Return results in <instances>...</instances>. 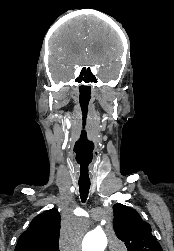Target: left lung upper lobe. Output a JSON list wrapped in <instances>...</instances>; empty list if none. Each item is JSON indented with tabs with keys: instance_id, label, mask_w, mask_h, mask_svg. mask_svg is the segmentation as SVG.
I'll return each mask as SVG.
<instances>
[{
	"instance_id": "1",
	"label": "left lung upper lobe",
	"mask_w": 174,
	"mask_h": 251,
	"mask_svg": "<svg viewBox=\"0 0 174 251\" xmlns=\"http://www.w3.org/2000/svg\"><path fill=\"white\" fill-rule=\"evenodd\" d=\"M113 210L114 230L128 251H162L151 233L150 225L142 220L136 210L120 203L115 204Z\"/></svg>"
}]
</instances>
